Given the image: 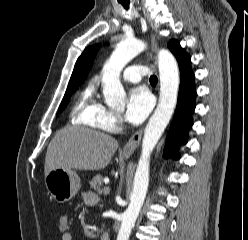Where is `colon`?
I'll list each match as a JSON object with an SVG mask.
<instances>
[{
    "label": "colon",
    "mask_w": 248,
    "mask_h": 240,
    "mask_svg": "<svg viewBox=\"0 0 248 240\" xmlns=\"http://www.w3.org/2000/svg\"><path fill=\"white\" fill-rule=\"evenodd\" d=\"M58 229L60 232H65L69 229V216L61 214L58 218Z\"/></svg>",
    "instance_id": "5ec220e1"
}]
</instances>
